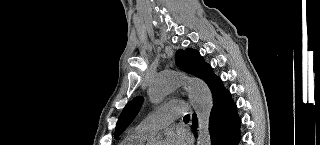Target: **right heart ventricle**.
<instances>
[{
	"label": "right heart ventricle",
	"mask_w": 320,
	"mask_h": 145,
	"mask_svg": "<svg viewBox=\"0 0 320 145\" xmlns=\"http://www.w3.org/2000/svg\"><path fill=\"white\" fill-rule=\"evenodd\" d=\"M148 140L149 137L133 130L125 136L120 145H144Z\"/></svg>",
	"instance_id": "right-heart-ventricle-1"
}]
</instances>
